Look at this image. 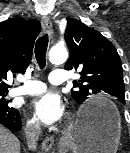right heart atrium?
<instances>
[{
    "instance_id": "obj_1",
    "label": "right heart atrium",
    "mask_w": 130,
    "mask_h": 153,
    "mask_svg": "<svg viewBox=\"0 0 130 153\" xmlns=\"http://www.w3.org/2000/svg\"><path fill=\"white\" fill-rule=\"evenodd\" d=\"M26 130L28 133L32 134V135H35L38 133L39 131V124L38 122L33 119V118H30L26 121Z\"/></svg>"
}]
</instances>
